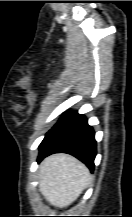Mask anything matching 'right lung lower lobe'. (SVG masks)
<instances>
[{"label": "right lung lower lobe", "instance_id": "98d812e1", "mask_svg": "<svg viewBox=\"0 0 132 217\" xmlns=\"http://www.w3.org/2000/svg\"><path fill=\"white\" fill-rule=\"evenodd\" d=\"M38 162L53 153H68L94 170L96 156L95 133L84 115L76 111L65 113L46 134L39 146Z\"/></svg>", "mask_w": 132, "mask_h": 217}]
</instances>
